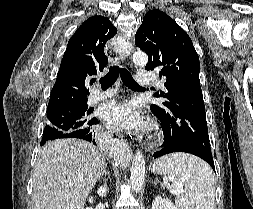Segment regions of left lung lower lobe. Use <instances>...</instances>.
Instances as JSON below:
<instances>
[{
  "mask_svg": "<svg viewBox=\"0 0 253 209\" xmlns=\"http://www.w3.org/2000/svg\"><path fill=\"white\" fill-rule=\"evenodd\" d=\"M173 152H186V153L196 155V156L200 157L201 159L205 160L207 163H209L210 166L215 171L214 161H213L211 152L205 151V150H202V149H199V148H195V147H192V146L174 145V144H170L168 142H165L164 148H162L161 150L155 152L153 154V158L156 159L158 157H161L163 155L173 153Z\"/></svg>",
  "mask_w": 253,
  "mask_h": 209,
  "instance_id": "0a47b994",
  "label": "left lung lower lobe"
}]
</instances>
